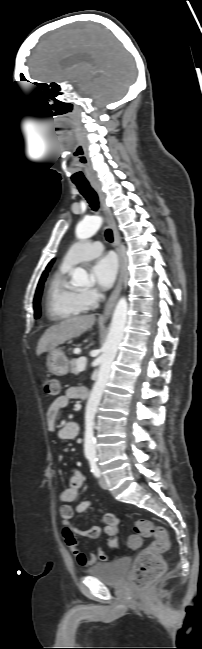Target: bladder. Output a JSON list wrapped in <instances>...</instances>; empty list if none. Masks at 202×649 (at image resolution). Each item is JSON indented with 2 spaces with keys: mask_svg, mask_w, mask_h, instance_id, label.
Segmentation results:
<instances>
[{
  "mask_svg": "<svg viewBox=\"0 0 202 649\" xmlns=\"http://www.w3.org/2000/svg\"><path fill=\"white\" fill-rule=\"evenodd\" d=\"M130 560L126 557L111 562L97 563L87 570V573L109 585H118L126 578Z\"/></svg>",
  "mask_w": 202,
  "mask_h": 649,
  "instance_id": "1",
  "label": "bladder"
}]
</instances>
